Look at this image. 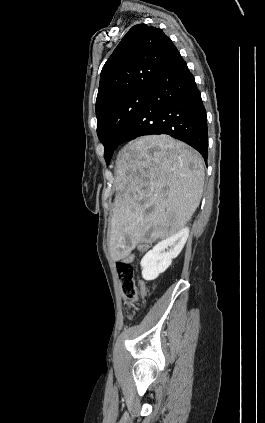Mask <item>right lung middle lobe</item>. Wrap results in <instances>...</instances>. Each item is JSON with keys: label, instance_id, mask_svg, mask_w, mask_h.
Wrapping results in <instances>:
<instances>
[{"label": "right lung middle lobe", "instance_id": "dd1d6c3e", "mask_svg": "<svg viewBox=\"0 0 265 423\" xmlns=\"http://www.w3.org/2000/svg\"><path fill=\"white\" fill-rule=\"evenodd\" d=\"M151 89L133 92L116 101L97 116V135L104 145V157L110 163L118 139L146 102Z\"/></svg>", "mask_w": 265, "mask_h": 423}]
</instances>
